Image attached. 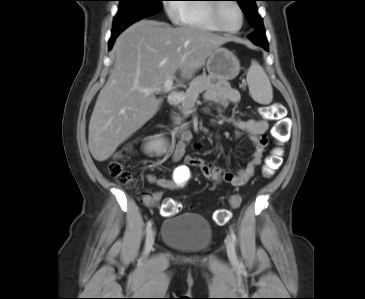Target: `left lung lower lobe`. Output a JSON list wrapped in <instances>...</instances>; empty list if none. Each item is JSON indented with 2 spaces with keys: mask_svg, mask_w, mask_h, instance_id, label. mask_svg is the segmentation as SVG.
I'll return each mask as SVG.
<instances>
[{
  "mask_svg": "<svg viewBox=\"0 0 365 299\" xmlns=\"http://www.w3.org/2000/svg\"><path fill=\"white\" fill-rule=\"evenodd\" d=\"M249 39L256 45L263 47L268 51V42L265 37L264 28L256 29L255 32L249 36Z\"/></svg>",
  "mask_w": 365,
  "mask_h": 299,
  "instance_id": "1",
  "label": "left lung lower lobe"
}]
</instances>
